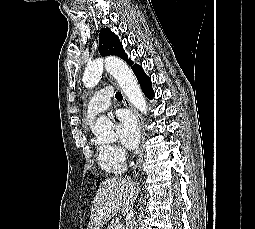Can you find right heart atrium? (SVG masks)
Wrapping results in <instances>:
<instances>
[{
	"label": "right heart atrium",
	"mask_w": 255,
	"mask_h": 229,
	"mask_svg": "<svg viewBox=\"0 0 255 229\" xmlns=\"http://www.w3.org/2000/svg\"><path fill=\"white\" fill-rule=\"evenodd\" d=\"M112 156L120 161H125L126 154L124 150L118 146H110Z\"/></svg>",
	"instance_id": "obj_1"
}]
</instances>
